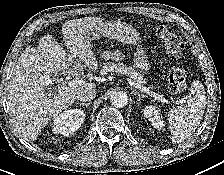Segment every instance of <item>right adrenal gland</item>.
Segmentation results:
<instances>
[{
	"instance_id": "2a0ac1e0",
	"label": "right adrenal gland",
	"mask_w": 224,
	"mask_h": 175,
	"mask_svg": "<svg viewBox=\"0 0 224 175\" xmlns=\"http://www.w3.org/2000/svg\"><path fill=\"white\" fill-rule=\"evenodd\" d=\"M81 106H86V108H88V106L91 104V101L89 102H83V103H79Z\"/></svg>"
}]
</instances>
